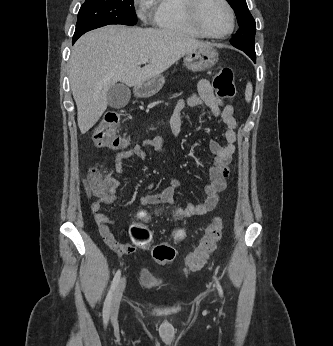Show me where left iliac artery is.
Wrapping results in <instances>:
<instances>
[{"label":"left iliac artery","instance_id":"44dca946","mask_svg":"<svg viewBox=\"0 0 333 346\" xmlns=\"http://www.w3.org/2000/svg\"><path fill=\"white\" fill-rule=\"evenodd\" d=\"M214 280H215V283H216V287L218 289V292L220 294V296L222 297L223 296V290H222V287L218 281V279L216 277H214Z\"/></svg>","mask_w":333,"mask_h":346}]
</instances>
